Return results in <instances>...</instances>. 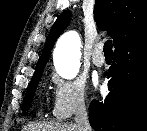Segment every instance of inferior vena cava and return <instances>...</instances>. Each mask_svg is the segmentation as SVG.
Returning a JSON list of instances; mask_svg holds the SVG:
<instances>
[{
    "label": "inferior vena cava",
    "instance_id": "inferior-vena-cava-1",
    "mask_svg": "<svg viewBox=\"0 0 147 131\" xmlns=\"http://www.w3.org/2000/svg\"><path fill=\"white\" fill-rule=\"evenodd\" d=\"M75 121L79 131H91L88 114L84 103H79L76 107Z\"/></svg>",
    "mask_w": 147,
    "mask_h": 131
}]
</instances>
